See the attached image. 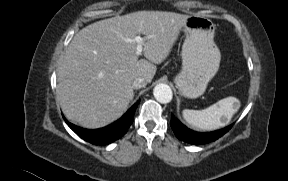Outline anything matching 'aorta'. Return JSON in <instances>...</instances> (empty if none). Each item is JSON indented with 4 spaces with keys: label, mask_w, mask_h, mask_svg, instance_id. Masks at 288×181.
<instances>
[{
    "label": "aorta",
    "mask_w": 288,
    "mask_h": 181,
    "mask_svg": "<svg viewBox=\"0 0 288 181\" xmlns=\"http://www.w3.org/2000/svg\"><path fill=\"white\" fill-rule=\"evenodd\" d=\"M153 95L158 102L163 104L169 103L173 97L170 86L163 83L157 84L154 87Z\"/></svg>",
    "instance_id": "762f6f07"
}]
</instances>
